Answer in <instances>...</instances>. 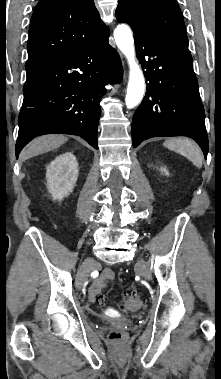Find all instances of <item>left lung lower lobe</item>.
Returning <instances> with one entry per match:
<instances>
[{
    "instance_id": "left-lung-lower-lobe-1",
    "label": "left lung lower lobe",
    "mask_w": 221,
    "mask_h": 379,
    "mask_svg": "<svg viewBox=\"0 0 221 379\" xmlns=\"http://www.w3.org/2000/svg\"><path fill=\"white\" fill-rule=\"evenodd\" d=\"M137 57L146 69L147 89L132 121V142L157 136H188L208 153L205 112L201 102L193 59L188 48L153 37L133 25Z\"/></svg>"
}]
</instances>
